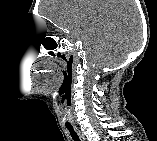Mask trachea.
Instances as JSON below:
<instances>
[{
	"instance_id": "obj_1",
	"label": "trachea",
	"mask_w": 157,
	"mask_h": 141,
	"mask_svg": "<svg viewBox=\"0 0 157 141\" xmlns=\"http://www.w3.org/2000/svg\"><path fill=\"white\" fill-rule=\"evenodd\" d=\"M66 127L69 130L72 139L74 141H80V139H79L77 133L74 131L73 127L72 126H66Z\"/></svg>"
}]
</instances>
